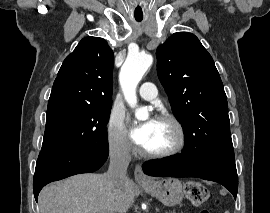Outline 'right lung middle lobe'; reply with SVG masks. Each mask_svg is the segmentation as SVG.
<instances>
[{
	"mask_svg": "<svg viewBox=\"0 0 270 213\" xmlns=\"http://www.w3.org/2000/svg\"><path fill=\"white\" fill-rule=\"evenodd\" d=\"M111 107L58 106L47 109L45 149H80L107 143Z\"/></svg>",
	"mask_w": 270,
	"mask_h": 213,
	"instance_id": "dd1d6c3e",
	"label": "right lung middle lobe"
}]
</instances>
